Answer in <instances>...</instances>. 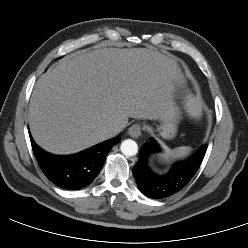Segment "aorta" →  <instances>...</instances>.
Wrapping results in <instances>:
<instances>
[{"mask_svg":"<svg viewBox=\"0 0 248 248\" xmlns=\"http://www.w3.org/2000/svg\"><path fill=\"white\" fill-rule=\"evenodd\" d=\"M120 150L126 157H132L138 153V145L134 140L127 139L121 143Z\"/></svg>","mask_w":248,"mask_h":248,"instance_id":"obj_1","label":"aorta"}]
</instances>
